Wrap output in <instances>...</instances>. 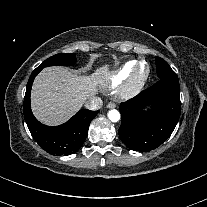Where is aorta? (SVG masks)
<instances>
[{"instance_id": "762f6f07", "label": "aorta", "mask_w": 207, "mask_h": 207, "mask_svg": "<svg viewBox=\"0 0 207 207\" xmlns=\"http://www.w3.org/2000/svg\"><path fill=\"white\" fill-rule=\"evenodd\" d=\"M108 118L111 122H118L120 120V113L113 109L108 112Z\"/></svg>"}]
</instances>
